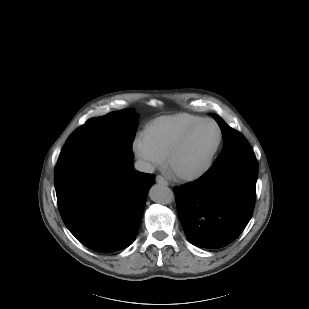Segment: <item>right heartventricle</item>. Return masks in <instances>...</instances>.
Listing matches in <instances>:
<instances>
[{"label":"right heart ventricle","mask_w":309,"mask_h":309,"mask_svg":"<svg viewBox=\"0 0 309 309\" xmlns=\"http://www.w3.org/2000/svg\"><path fill=\"white\" fill-rule=\"evenodd\" d=\"M202 119L186 113L159 117L146 126L142 136L148 146L161 159H165L177 139L190 126Z\"/></svg>","instance_id":"1"}]
</instances>
